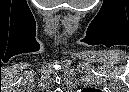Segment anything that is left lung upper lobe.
Returning <instances> with one entry per match:
<instances>
[{"mask_svg":"<svg viewBox=\"0 0 129 92\" xmlns=\"http://www.w3.org/2000/svg\"><path fill=\"white\" fill-rule=\"evenodd\" d=\"M85 92H100V90L94 89V88H89V89H85Z\"/></svg>","mask_w":129,"mask_h":92,"instance_id":"left-lung-upper-lobe-1","label":"left lung upper lobe"}]
</instances>
